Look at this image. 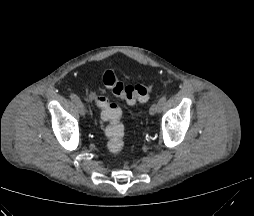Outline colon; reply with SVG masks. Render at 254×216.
Instances as JSON below:
<instances>
[{
	"instance_id": "1",
	"label": "colon",
	"mask_w": 254,
	"mask_h": 216,
	"mask_svg": "<svg viewBox=\"0 0 254 216\" xmlns=\"http://www.w3.org/2000/svg\"><path fill=\"white\" fill-rule=\"evenodd\" d=\"M102 82L115 96L122 98L130 105L135 104L137 101H147L153 89L151 84H125L118 78L117 73L111 69L103 73ZM96 100L101 109L102 120L107 123L104 130L108 138L107 150L111 154H119L125 146L124 126L120 121L122 115L121 109L103 95L96 96Z\"/></svg>"
}]
</instances>
